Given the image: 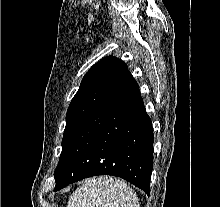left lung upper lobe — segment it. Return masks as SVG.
I'll list each match as a JSON object with an SVG mask.
<instances>
[{"instance_id": "obj_1", "label": "left lung upper lobe", "mask_w": 220, "mask_h": 207, "mask_svg": "<svg viewBox=\"0 0 220 207\" xmlns=\"http://www.w3.org/2000/svg\"><path fill=\"white\" fill-rule=\"evenodd\" d=\"M126 70L127 65L114 56L103 58L89 69L67 110L62 151L78 127Z\"/></svg>"}]
</instances>
